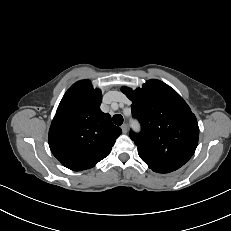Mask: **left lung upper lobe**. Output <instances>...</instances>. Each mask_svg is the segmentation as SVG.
<instances>
[{"label": "left lung upper lobe", "instance_id": "5c2ea615", "mask_svg": "<svg viewBox=\"0 0 231 231\" xmlns=\"http://www.w3.org/2000/svg\"><path fill=\"white\" fill-rule=\"evenodd\" d=\"M121 90L132 101L133 117L141 123V133L130 132L140 158L159 173L183 166L194 154L199 138L197 119L183 98L156 79L136 90L125 86Z\"/></svg>", "mask_w": 231, "mask_h": 231}]
</instances>
